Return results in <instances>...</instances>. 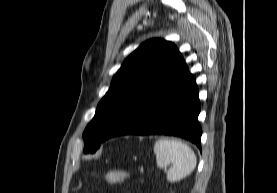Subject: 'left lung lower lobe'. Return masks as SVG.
Instances as JSON below:
<instances>
[{"instance_id": "0a47b994", "label": "left lung lower lobe", "mask_w": 277, "mask_h": 193, "mask_svg": "<svg viewBox=\"0 0 277 193\" xmlns=\"http://www.w3.org/2000/svg\"><path fill=\"white\" fill-rule=\"evenodd\" d=\"M200 101L194 77L185 65L145 94L118 119L105 140L120 135H173L201 149Z\"/></svg>"}]
</instances>
